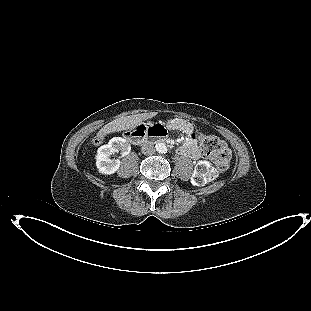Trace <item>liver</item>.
Returning a JSON list of instances; mask_svg holds the SVG:
<instances>
[{
    "mask_svg": "<svg viewBox=\"0 0 311 311\" xmlns=\"http://www.w3.org/2000/svg\"><path fill=\"white\" fill-rule=\"evenodd\" d=\"M153 116H155V113H142L115 119L103 126L97 133V137L103 138L105 135L110 133L132 129L140 124L142 121L152 118Z\"/></svg>",
    "mask_w": 311,
    "mask_h": 311,
    "instance_id": "obj_1",
    "label": "liver"
}]
</instances>
